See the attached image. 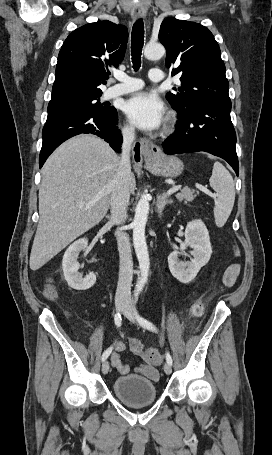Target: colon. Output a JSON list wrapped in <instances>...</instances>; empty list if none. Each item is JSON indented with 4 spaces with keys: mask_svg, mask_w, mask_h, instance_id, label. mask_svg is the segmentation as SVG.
I'll return each instance as SVG.
<instances>
[{
    "mask_svg": "<svg viewBox=\"0 0 272 455\" xmlns=\"http://www.w3.org/2000/svg\"><path fill=\"white\" fill-rule=\"evenodd\" d=\"M45 296L49 299L56 297V291L52 285H48L45 289ZM203 305L201 303H195L192 307V314L195 318H199L203 315ZM146 358L153 364H160L163 361V355L155 348H149L146 351Z\"/></svg>",
    "mask_w": 272,
    "mask_h": 455,
    "instance_id": "obj_1",
    "label": "colon"
}]
</instances>
